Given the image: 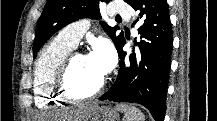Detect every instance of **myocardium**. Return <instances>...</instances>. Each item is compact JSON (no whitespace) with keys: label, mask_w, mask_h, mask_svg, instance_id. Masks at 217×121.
Returning <instances> with one entry per match:
<instances>
[{"label":"myocardium","mask_w":217,"mask_h":121,"mask_svg":"<svg viewBox=\"0 0 217 121\" xmlns=\"http://www.w3.org/2000/svg\"><path fill=\"white\" fill-rule=\"evenodd\" d=\"M77 57H87V55L80 52H72L65 58L55 75L53 81L54 89L58 97L65 101L77 103L88 102L99 96L105 90L107 79L106 77H103L98 87L91 93L84 95L72 93L68 84V75Z\"/></svg>","instance_id":"obj_1"}]
</instances>
